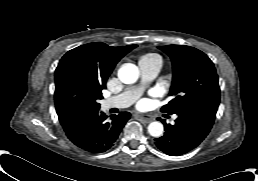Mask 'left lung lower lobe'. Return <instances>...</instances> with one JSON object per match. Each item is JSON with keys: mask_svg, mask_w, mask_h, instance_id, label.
I'll list each match as a JSON object with an SVG mask.
<instances>
[{"mask_svg": "<svg viewBox=\"0 0 258 181\" xmlns=\"http://www.w3.org/2000/svg\"><path fill=\"white\" fill-rule=\"evenodd\" d=\"M177 115L175 125L163 121L165 133L155 139L157 148L170 156H179L197 147L211 130L216 111L195 109Z\"/></svg>", "mask_w": 258, "mask_h": 181, "instance_id": "1", "label": "left lung lower lobe"}]
</instances>
